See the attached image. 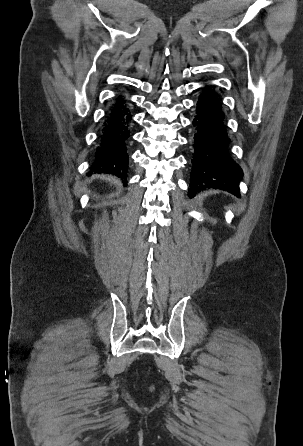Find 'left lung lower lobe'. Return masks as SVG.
<instances>
[{
	"label": "left lung lower lobe",
	"mask_w": 303,
	"mask_h": 446,
	"mask_svg": "<svg viewBox=\"0 0 303 446\" xmlns=\"http://www.w3.org/2000/svg\"><path fill=\"white\" fill-rule=\"evenodd\" d=\"M196 113L193 125L197 132L189 197L206 188L225 190L239 197L242 169L229 157V138L224 128L221 104L211 89H203Z\"/></svg>",
	"instance_id": "0a47b994"
}]
</instances>
